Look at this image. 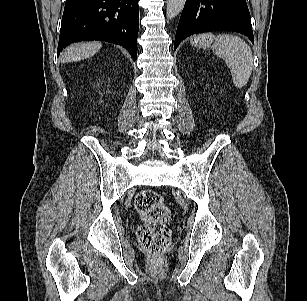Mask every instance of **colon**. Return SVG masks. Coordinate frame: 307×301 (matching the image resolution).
<instances>
[{
  "mask_svg": "<svg viewBox=\"0 0 307 301\" xmlns=\"http://www.w3.org/2000/svg\"><path fill=\"white\" fill-rule=\"evenodd\" d=\"M134 206L143 223L137 228V238L150 255H160L168 246L171 230L168 221L171 212L162 196L151 189L137 193Z\"/></svg>",
  "mask_w": 307,
  "mask_h": 301,
  "instance_id": "colon-1",
  "label": "colon"
}]
</instances>
